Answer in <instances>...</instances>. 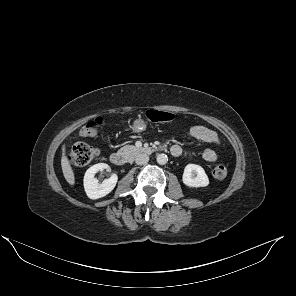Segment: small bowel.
Wrapping results in <instances>:
<instances>
[{"mask_svg": "<svg viewBox=\"0 0 296 296\" xmlns=\"http://www.w3.org/2000/svg\"><path fill=\"white\" fill-rule=\"evenodd\" d=\"M186 137L204 143L215 145L221 144L218 135L213 130L204 126L191 127L187 132ZM170 151L174 156H179L182 153V149L178 145L171 146ZM202 158L207 162H216L219 158V154L213 149H205L202 152Z\"/></svg>", "mask_w": 296, "mask_h": 296, "instance_id": "c3829d8e", "label": "small bowel"}]
</instances>
